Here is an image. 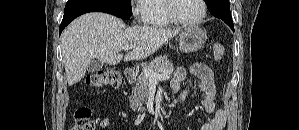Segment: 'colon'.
I'll use <instances>...</instances> for the list:
<instances>
[{"label":"colon","mask_w":299,"mask_h":130,"mask_svg":"<svg viewBox=\"0 0 299 130\" xmlns=\"http://www.w3.org/2000/svg\"><path fill=\"white\" fill-rule=\"evenodd\" d=\"M213 58L216 62L222 60L225 54V48L219 43L211 46ZM122 74L113 69H105L91 74L87 77L86 84L90 88L102 86L119 87L122 83ZM92 111L88 107H81L76 110L74 124L70 130H95V123L91 120Z\"/></svg>","instance_id":"1"}]
</instances>
